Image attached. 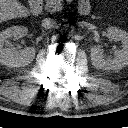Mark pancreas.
<instances>
[{
  "label": "pancreas",
  "instance_id": "1",
  "mask_svg": "<svg viewBox=\"0 0 128 128\" xmlns=\"http://www.w3.org/2000/svg\"><path fill=\"white\" fill-rule=\"evenodd\" d=\"M62 0H46V9L49 12H56L62 9Z\"/></svg>",
  "mask_w": 128,
  "mask_h": 128
}]
</instances>
